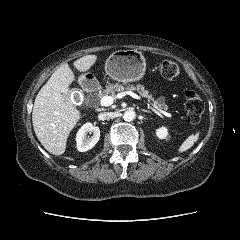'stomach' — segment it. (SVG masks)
Listing matches in <instances>:
<instances>
[{
  "instance_id": "stomach-1",
  "label": "stomach",
  "mask_w": 240,
  "mask_h": 240,
  "mask_svg": "<svg viewBox=\"0 0 240 240\" xmlns=\"http://www.w3.org/2000/svg\"><path fill=\"white\" fill-rule=\"evenodd\" d=\"M146 71V62L136 50H118L111 54L105 64L106 74L118 82H134L142 79Z\"/></svg>"
}]
</instances>
